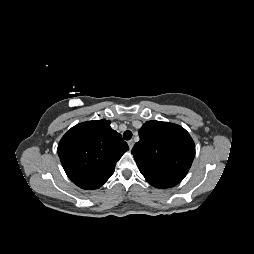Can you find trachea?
I'll list each match as a JSON object with an SVG mask.
<instances>
[{
	"label": "trachea",
	"mask_w": 254,
	"mask_h": 254,
	"mask_svg": "<svg viewBox=\"0 0 254 254\" xmlns=\"http://www.w3.org/2000/svg\"><path fill=\"white\" fill-rule=\"evenodd\" d=\"M123 138L125 140H130L132 138V132L130 130H127L123 133Z\"/></svg>",
	"instance_id": "trachea-1"
}]
</instances>
